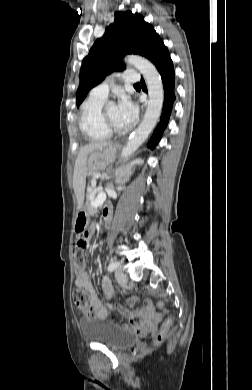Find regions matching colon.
I'll list each match as a JSON object with an SVG mask.
<instances>
[{"instance_id":"obj_1","label":"colon","mask_w":252,"mask_h":390,"mask_svg":"<svg viewBox=\"0 0 252 390\" xmlns=\"http://www.w3.org/2000/svg\"><path fill=\"white\" fill-rule=\"evenodd\" d=\"M84 221H80L81 226H84ZM82 231V230H81ZM86 233L82 235V237L77 241L76 247L73 250V267L74 272L78 275L84 271L85 268V255L84 249L86 248ZM73 301L74 304L82 310L83 314L87 318H91L95 315L93 308L89 305V294L84 288L77 287L73 292ZM173 324V318L168 317L160 331L155 336V341L160 343L164 340L167 335L169 328Z\"/></svg>"}]
</instances>
